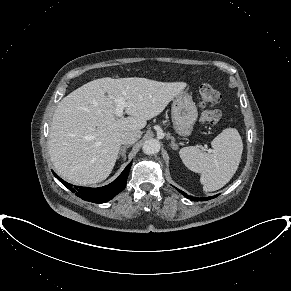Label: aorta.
I'll use <instances>...</instances> for the list:
<instances>
[{
	"label": "aorta",
	"mask_w": 291,
	"mask_h": 291,
	"mask_svg": "<svg viewBox=\"0 0 291 291\" xmlns=\"http://www.w3.org/2000/svg\"><path fill=\"white\" fill-rule=\"evenodd\" d=\"M142 150L147 155H154L160 151V143L156 139H149L143 143Z\"/></svg>",
	"instance_id": "aorta-1"
}]
</instances>
